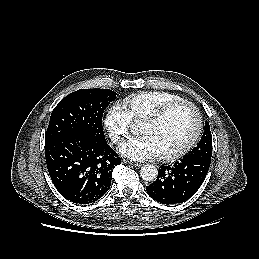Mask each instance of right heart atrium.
<instances>
[{
	"mask_svg": "<svg viewBox=\"0 0 259 259\" xmlns=\"http://www.w3.org/2000/svg\"><path fill=\"white\" fill-rule=\"evenodd\" d=\"M132 118L128 109L120 102L113 103L107 110L104 126L115 143H120L129 135Z\"/></svg>",
	"mask_w": 259,
	"mask_h": 259,
	"instance_id": "right-heart-atrium-1",
	"label": "right heart atrium"
}]
</instances>
